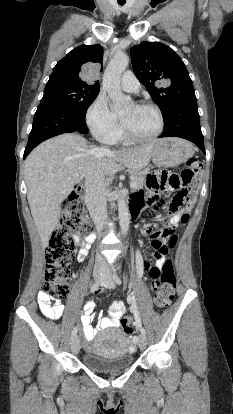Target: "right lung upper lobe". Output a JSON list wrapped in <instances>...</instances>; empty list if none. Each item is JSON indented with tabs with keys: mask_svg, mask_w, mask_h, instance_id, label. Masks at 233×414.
I'll list each match as a JSON object with an SVG mask.
<instances>
[{
	"mask_svg": "<svg viewBox=\"0 0 233 414\" xmlns=\"http://www.w3.org/2000/svg\"><path fill=\"white\" fill-rule=\"evenodd\" d=\"M103 48L96 45H81L69 52L53 69L50 78H62L78 83L99 86V81H88L83 75L84 67L90 64L102 65Z\"/></svg>",
	"mask_w": 233,
	"mask_h": 414,
	"instance_id": "cb5924a9",
	"label": "right lung upper lobe"
}]
</instances>
